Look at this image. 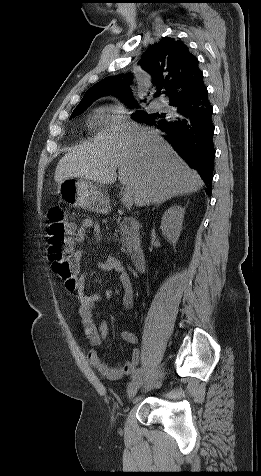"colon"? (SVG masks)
<instances>
[{
  "mask_svg": "<svg viewBox=\"0 0 261 476\" xmlns=\"http://www.w3.org/2000/svg\"><path fill=\"white\" fill-rule=\"evenodd\" d=\"M47 250L52 268L65 286L73 290L77 284L76 268L71 261V244L75 225L70 222L62 208L51 207L48 211Z\"/></svg>",
  "mask_w": 261,
  "mask_h": 476,
  "instance_id": "obj_1",
  "label": "colon"
}]
</instances>
